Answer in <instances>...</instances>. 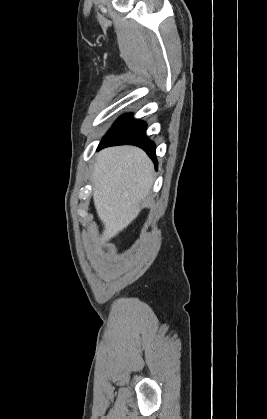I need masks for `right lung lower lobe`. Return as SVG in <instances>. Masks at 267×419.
Here are the masks:
<instances>
[{"label": "right lung lower lobe", "instance_id": "98d812e1", "mask_svg": "<svg viewBox=\"0 0 267 419\" xmlns=\"http://www.w3.org/2000/svg\"><path fill=\"white\" fill-rule=\"evenodd\" d=\"M145 130L143 121L133 119L131 114L123 115L104 136L97 150L114 145H135L148 154L157 169L155 144L146 137Z\"/></svg>", "mask_w": 267, "mask_h": 419}]
</instances>
